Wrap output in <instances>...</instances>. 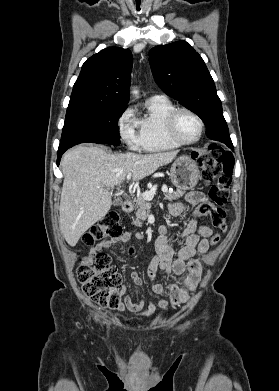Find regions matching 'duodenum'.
Instances as JSON below:
<instances>
[{
	"instance_id": "410a0bca",
	"label": "duodenum",
	"mask_w": 279,
	"mask_h": 391,
	"mask_svg": "<svg viewBox=\"0 0 279 391\" xmlns=\"http://www.w3.org/2000/svg\"><path fill=\"white\" fill-rule=\"evenodd\" d=\"M122 211L126 214L130 213L132 210H133V203L129 200H125L123 203H122Z\"/></svg>"
}]
</instances>
